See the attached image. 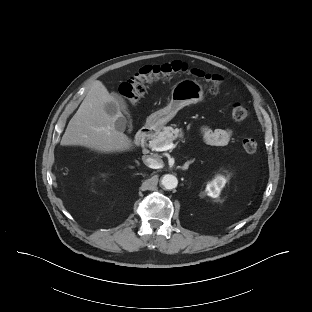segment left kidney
<instances>
[{
  "label": "left kidney",
  "mask_w": 312,
  "mask_h": 312,
  "mask_svg": "<svg viewBox=\"0 0 312 312\" xmlns=\"http://www.w3.org/2000/svg\"><path fill=\"white\" fill-rule=\"evenodd\" d=\"M226 183V178L222 175H217V177L209 182L206 186V193L212 198H217L220 195L221 189Z\"/></svg>",
  "instance_id": "1"
}]
</instances>
